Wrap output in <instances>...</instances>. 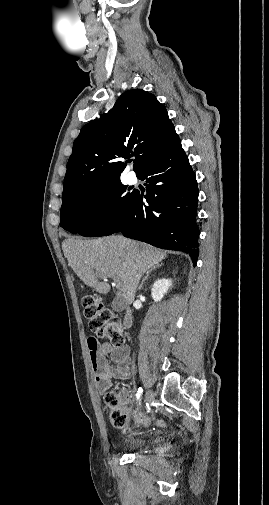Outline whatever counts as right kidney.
Segmentation results:
<instances>
[{
	"instance_id": "ca27d5eb",
	"label": "right kidney",
	"mask_w": 269,
	"mask_h": 505,
	"mask_svg": "<svg viewBox=\"0 0 269 505\" xmlns=\"http://www.w3.org/2000/svg\"><path fill=\"white\" fill-rule=\"evenodd\" d=\"M172 286L170 279H158L152 286L151 295L155 302L161 301L169 288Z\"/></svg>"
}]
</instances>
